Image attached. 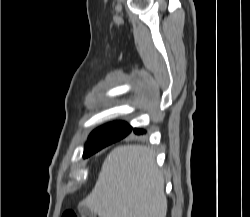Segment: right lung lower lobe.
<instances>
[{
    "label": "right lung lower lobe",
    "instance_id": "1",
    "mask_svg": "<svg viewBox=\"0 0 250 217\" xmlns=\"http://www.w3.org/2000/svg\"><path fill=\"white\" fill-rule=\"evenodd\" d=\"M134 133H136V134H143V133H145V131L144 130H140V129H134Z\"/></svg>",
    "mask_w": 250,
    "mask_h": 217
}]
</instances>
